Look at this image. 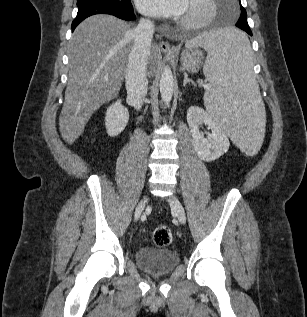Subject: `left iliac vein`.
Segmentation results:
<instances>
[{"label": "left iliac vein", "instance_id": "left-iliac-vein-1", "mask_svg": "<svg viewBox=\"0 0 307 317\" xmlns=\"http://www.w3.org/2000/svg\"><path fill=\"white\" fill-rule=\"evenodd\" d=\"M168 201H169V204L172 208V211L175 213V215L177 216L180 223L185 224L186 214H185V210H184L182 204L180 203V201L175 196H170Z\"/></svg>", "mask_w": 307, "mask_h": 317}]
</instances>
